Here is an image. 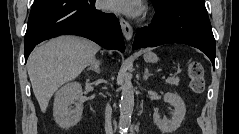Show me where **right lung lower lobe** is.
<instances>
[{
  "label": "right lung lower lobe",
  "mask_w": 239,
  "mask_h": 134,
  "mask_svg": "<svg viewBox=\"0 0 239 134\" xmlns=\"http://www.w3.org/2000/svg\"><path fill=\"white\" fill-rule=\"evenodd\" d=\"M64 34L86 37L106 49L125 50L117 18L95 9V0H35L25 34V60L37 44Z\"/></svg>",
  "instance_id": "right-lung-lower-lobe-1"
}]
</instances>
